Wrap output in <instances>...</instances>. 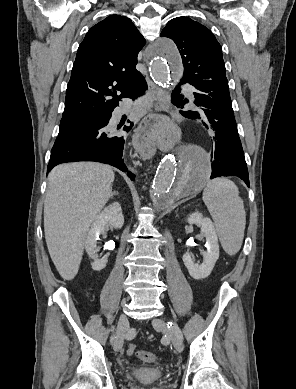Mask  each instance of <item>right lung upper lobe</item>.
Returning a JSON list of instances; mask_svg holds the SVG:
<instances>
[{
	"label": "right lung upper lobe",
	"instance_id": "1",
	"mask_svg": "<svg viewBox=\"0 0 296 389\" xmlns=\"http://www.w3.org/2000/svg\"><path fill=\"white\" fill-rule=\"evenodd\" d=\"M145 42L124 16L111 15L93 26L78 48L62 118L105 115L129 97L143 77L135 66Z\"/></svg>",
	"mask_w": 296,
	"mask_h": 389
}]
</instances>
